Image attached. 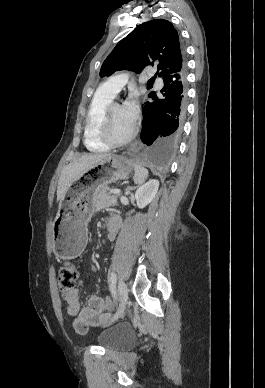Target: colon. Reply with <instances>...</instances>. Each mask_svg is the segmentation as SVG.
I'll return each mask as SVG.
<instances>
[{"mask_svg": "<svg viewBox=\"0 0 265 388\" xmlns=\"http://www.w3.org/2000/svg\"><path fill=\"white\" fill-rule=\"evenodd\" d=\"M77 278L78 270L76 265L71 261L65 262L60 268L58 276V287L64 296L74 289ZM104 305L108 311L113 308L112 301L108 297L104 299Z\"/></svg>", "mask_w": 265, "mask_h": 388, "instance_id": "obj_1", "label": "colon"}]
</instances>
